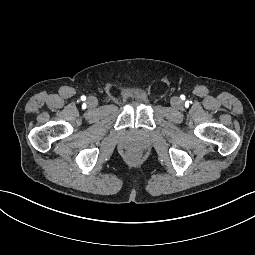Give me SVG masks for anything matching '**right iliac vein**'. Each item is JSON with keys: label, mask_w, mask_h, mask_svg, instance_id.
<instances>
[{"label": "right iliac vein", "mask_w": 255, "mask_h": 255, "mask_svg": "<svg viewBox=\"0 0 255 255\" xmlns=\"http://www.w3.org/2000/svg\"><path fill=\"white\" fill-rule=\"evenodd\" d=\"M86 103H87L88 107L94 108L97 106L98 100L96 97L90 96V97H88Z\"/></svg>", "instance_id": "1"}]
</instances>
